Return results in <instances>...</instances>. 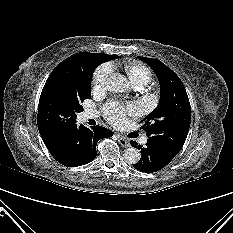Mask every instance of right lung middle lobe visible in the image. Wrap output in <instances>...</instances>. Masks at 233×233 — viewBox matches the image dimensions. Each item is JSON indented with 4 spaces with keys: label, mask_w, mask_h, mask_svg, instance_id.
<instances>
[{
    "label": "right lung middle lobe",
    "mask_w": 233,
    "mask_h": 233,
    "mask_svg": "<svg viewBox=\"0 0 233 233\" xmlns=\"http://www.w3.org/2000/svg\"><path fill=\"white\" fill-rule=\"evenodd\" d=\"M108 61L104 54L83 52L79 68L72 75H51L47 79L38 106L41 135L60 133L75 125L81 103L91 97L95 68Z\"/></svg>",
    "instance_id": "obj_1"
}]
</instances>
